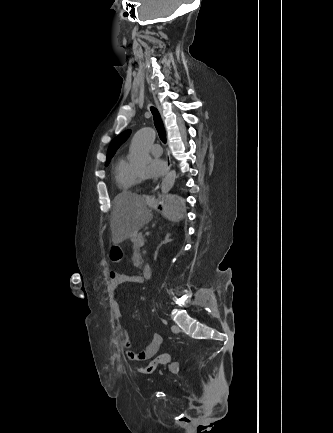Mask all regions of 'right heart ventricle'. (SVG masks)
<instances>
[{"label": "right heart ventricle", "mask_w": 333, "mask_h": 433, "mask_svg": "<svg viewBox=\"0 0 333 433\" xmlns=\"http://www.w3.org/2000/svg\"><path fill=\"white\" fill-rule=\"evenodd\" d=\"M113 174L116 186L123 192L133 188L138 181L136 169L124 156H119L116 159Z\"/></svg>", "instance_id": "e07e8e85"}]
</instances>
